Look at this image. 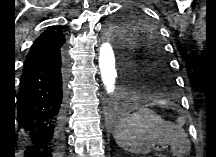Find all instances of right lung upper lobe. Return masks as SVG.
Segmentation results:
<instances>
[{"label": "right lung upper lobe", "mask_w": 216, "mask_h": 157, "mask_svg": "<svg viewBox=\"0 0 216 157\" xmlns=\"http://www.w3.org/2000/svg\"><path fill=\"white\" fill-rule=\"evenodd\" d=\"M65 42L62 32L56 28L50 27L43 32L34 42L24 63L23 70L31 67L37 62L60 52V48Z\"/></svg>", "instance_id": "cb5924a9"}]
</instances>
